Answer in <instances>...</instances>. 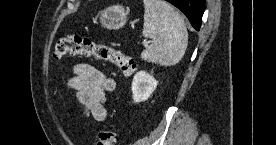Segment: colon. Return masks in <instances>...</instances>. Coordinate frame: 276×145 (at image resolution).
Listing matches in <instances>:
<instances>
[{
	"instance_id": "5ec220e1",
	"label": "colon",
	"mask_w": 276,
	"mask_h": 145,
	"mask_svg": "<svg viewBox=\"0 0 276 145\" xmlns=\"http://www.w3.org/2000/svg\"><path fill=\"white\" fill-rule=\"evenodd\" d=\"M67 55H85L100 62L110 63L118 68L124 76H131L136 70L134 60L121 50L106 44L97 43L81 34H70L58 39L54 56L61 58ZM116 133L112 130H101L98 134L97 145H115Z\"/></svg>"
}]
</instances>
